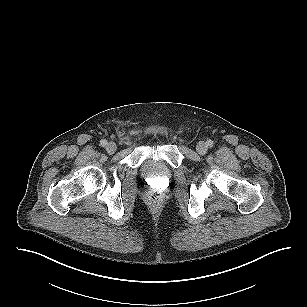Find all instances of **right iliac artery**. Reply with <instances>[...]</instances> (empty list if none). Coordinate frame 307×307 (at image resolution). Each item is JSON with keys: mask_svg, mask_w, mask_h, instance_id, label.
<instances>
[{"mask_svg": "<svg viewBox=\"0 0 307 307\" xmlns=\"http://www.w3.org/2000/svg\"><path fill=\"white\" fill-rule=\"evenodd\" d=\"M100 145H101L102 147H105V146L107 145V141H106L105 139L101 140V141H100Z\"/></svg>", "mask_w": 307, "mask_h": 307, "instance_id": "obj_1", "label": "right iliac artery"}]
</instances>
